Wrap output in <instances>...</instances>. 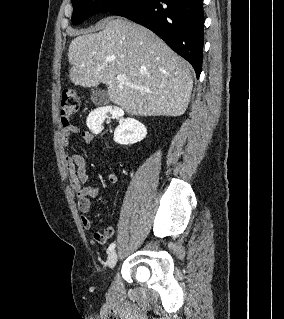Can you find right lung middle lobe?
I'll list each match as a JSON object with an SVG mask.
<instances>
[{"mask_svg": "<svg viewBox=\"0 0 284 319\" xmlns=\"http://www.w3.org/2000/svg\"><path fill=\"white\" fill-rule=\"evenodd\" d=\"M73 5L72 22L77 25L92 15L109 12L127 4L131 0H71Z\"/></svg>", "mask_w": 284, "mask_h": 319, "instance_id": "dd1d6c3e", "label": "right lung middle lobe"}]
</instances>
